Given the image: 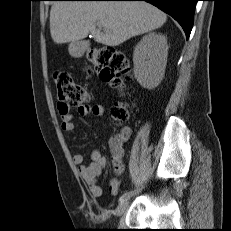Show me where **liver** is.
Listing matches in <instances>:
<instances>
[{
	"instance_id": "liver-1",
	"label": "liver",
	"mask_w": 231,
	"mask_h": 231,
	"mask_svg": "<svg viewBox=\"0 0 231 231\" xmlns=\"http://www.w3.org/2000/svg\"><path fill=\"white\" fill-rule=\"evenodd\" d=\"M166 20L164 12L146 2L57 1L50 10V33L57 44L92 34L97 43L118 46L160 28Z\"/></svg>"
}]
</instances>
